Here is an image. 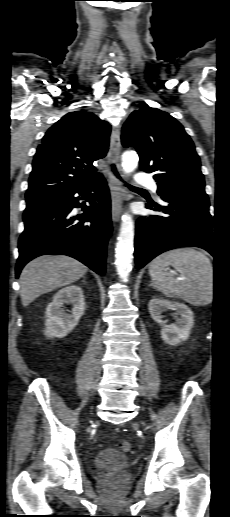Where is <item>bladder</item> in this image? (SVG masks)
<instances>
[{"label":"bladder","instance_id":"31cf9c89","mask_svg":"<svg viewBox=\"0 0 230 517\" xmlns=\"http://www.w3.org/2000/svg\"><path fill=\"white\" fill-rule=\"evenodd\" d=\"M130 463L129 455L111 448L99 451L93 458L94 467L99 469L118 470L129 466Z\"/></svg>","mask_w":230,"mask_h":517}]
</instances>
